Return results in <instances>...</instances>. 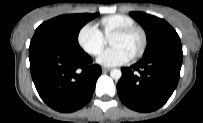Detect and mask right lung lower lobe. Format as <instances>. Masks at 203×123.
<instances>
[{
  "label": "right lung lower lobe",
  "mask_w": 203,
  "mask_h": 123,
  "mask_svg": "<svg viewBox=\"0 0 203 123\" xmlns=\"http://www.w3.org/2000/svg\"><path fill=\"white\" fill-rule=\"evenodd\" d=\"M30 71L42 100L54 110L72 112L91 99L101 67L88 54L36 43L29 47Z\"/></svg>",
  "instance_id": "obj_1"
}]
</instances>
